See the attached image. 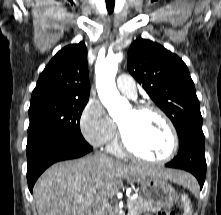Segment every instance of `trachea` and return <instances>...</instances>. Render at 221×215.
<instances>
[{
    "instance_id": "trachea-1",
    "label": "trachea",
    "mask_w": 221,
    "mask_h": 215,
    "mask_svg": "<svg viewBox=\"0 0 221 215\" xmlns=\"http://www.w3.org/2000/svg\"><path fill=\"white\" fill-rule=\"evenodd\" d=\"M114 5H115L114 0H106V8L110 14L113 13L114 11Z\"/></svg>"
}]
</instances>
